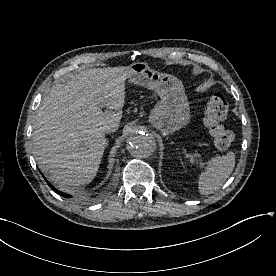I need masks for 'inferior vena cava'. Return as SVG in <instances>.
Masks as SVG:
<instances>
[{"label": "inferior vena cava", "mask_w": 276, "mask_h": 276, "mask_svg": "<svg viewBox=\"0 0 276 276\" xmlns=\"http://www.w3.org/2000/svg\"><path fill=\"white\" fill-rule=\"evenodd\" d=\"M119 127V123L117 122H110L103 126V130L105 133L115 132Z\"/></svg>", "instance_id": "1"}]
</instances>
